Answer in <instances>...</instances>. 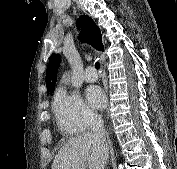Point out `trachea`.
Listing matches in <instances>:
<instances>
[{"label":"trachea","instance_id":"3493384b","mask_svg":"<svg viewBox=\"0 0 177 169\" xmlns=\"http://www.w3.org/2000/svg\"><path fill=\"white\" fill-rule=\"evenodd\" d=\"M95 68H96L97 70L100 68L99 62H96V63H95Z\"/></svg>","mask_w":177,"mask_h":169}]
</instances>
